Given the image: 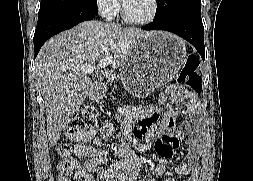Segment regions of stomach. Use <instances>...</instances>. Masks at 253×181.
<instances>
[{
  "label": "stomach",
  "instance_id": "1",
  "mask_svg": "<svg viewBox=\"0 0 253 181\" xmlns=\"http://www.w3.org/2000/svg\"><path fill=\"white\" fill-rule=\"evenodd\" d=\"M186 59V47L180 38L154 32L130 49L119 77L130 94L144 97L169 83Z\"/></svg>",
  "mask_w": 253,
  "mask_h": 181
}]
</instances>
